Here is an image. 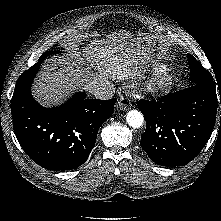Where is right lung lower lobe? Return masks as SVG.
<instances>
[{"label": "right lung lower lobe", "mask_w": 221, "mask_h": 221, "mask_svg": "<svg viewBox=\"0 0 221 221\" xmlns=\"http://www.w3.org/2000/svg\"><path fill=\"white\" fill-rule=\"evenodd\" d=\"M41 63L19 77L11 100L13 128L23 150L38 165L49 170H71L86 162L100 126L113 114L117 99H87L74 95L53 108L39 105L31 83Z\"/></svg>", "instance_id": "obj_1"}]
</instances>
